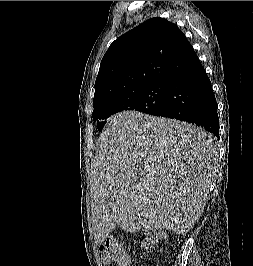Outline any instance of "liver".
Segmentation results:
<instances>
[{
	"label": "liver",
	"mask_w": 253,
	"mask_h": 266,
	"mask_svg": "<svg viewBox=\"0 0 253 266\" xmlns=\"http://www.w3.org/2000/svg\"><path fill=\"white\" fill-rule=\"evenodd\" d=\"M217 155L214 136L196 125L136 111L112 116L92 161L96 245L117 226L190 231L204 211Z\"/></svg>",
	"instance_id": "obj_1"
}]
</instances>
